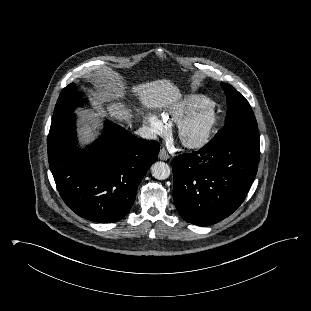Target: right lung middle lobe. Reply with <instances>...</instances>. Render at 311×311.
<instances>
[{
  "mask_svg": "<svg viewBox=\"0 0 311 311\" xmlns=\"http://www.w3.org/2000/svg\"><path fill=\"white\" fill-rule=\"evenodd\" d=\"M82 104L80 93L76 90L74 83L69 84L65 87L55 106L52 121L64 116L67 113H72L75 108Z\"/></svg>",
  "mask_w": 311,
  "mask_h": 311,
  "instance_id": "obj_1",
  "label": "right lung middle lobe"
}]
</instances>
